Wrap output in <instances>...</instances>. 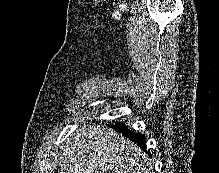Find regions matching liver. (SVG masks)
<instances>
[{"label": "liver", "mask_w": 219, "mask_h": 173, "mask_svg": "<svg viewBox=\"0 0 219 173\" xmlns=\"http://www.w3.org/2000/svg\"><path fill=\"white\" fill-rule=\"evenodd\" d=\"M61 151L58 173H151L146 153L100 125L80 126L64 141Z\"/></svg>", "instance_id": "obj_1"}]
</instances>
